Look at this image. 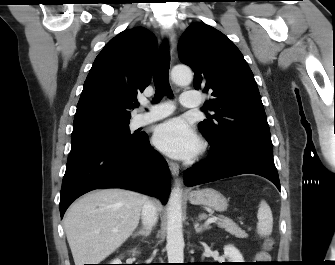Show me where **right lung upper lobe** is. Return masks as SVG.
I'll use <instances>...</instances> for the list:
<instances>
[{"instance_id": "cb5924a9", "label": "right lung upper lobe", "mask_w": 335, "mask_h": 265, "mask_svg": "<svg viewBox=\"0 0 335 265\" xmlns=\"http://www.w3.org/2000/svg\"><path fill=\"white\" fill-rule=\"evenodd\" d=\"M157 42L145 28L125 30L96 57L84 82L74 126L97 122H129L137 93L151 82Z\"/></svg>"}]
</instances>
